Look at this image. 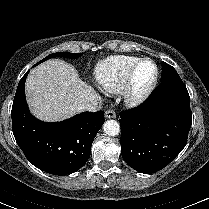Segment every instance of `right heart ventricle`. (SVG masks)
<instances>
[{"instance_id": "1", "label": "right heart ventricle", "mask_w": 209, "mask_h": 209, "mask_svg": "<svg viewBox=\"0 0 209 209\" xmlns=\"http://www.w3.org/2000/svg\"><path fill=\"white\" fill-rule=\"evenodd\" d=\"M139 57L118 55L112 56L101 63L96 77L98 82L110 93L122 90L128 73Z\"/></svg>"}]
</instances>
